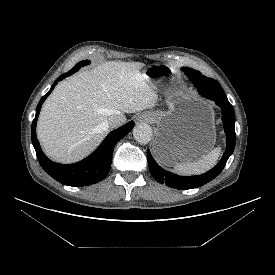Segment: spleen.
Here are the masks:
<instances>
[{
    "label": "spleen",
    "mask_w": 275,
    "mask_h": 275,
    "mask_svg": "<svg viewBox=\"0 0 275 275\" xmlns=\"http://www.w3.org/2000/svg\"><path fill=\"white\" fill-rule=\"evenodd\" d=\"M220 153V147H216L197 161L178 163L174 165V170L181 175L204 173L205 171L211 169L217 163Z\"/></svg>",
    "instance_id": "spleen-1"
}]
</instances>
